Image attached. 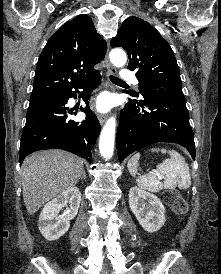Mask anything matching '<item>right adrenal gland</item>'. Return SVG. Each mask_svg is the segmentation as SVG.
<instances>
[{
	"instance_id": "right-adrenal-gland-1",
	"label": "right adrenal gland",
	"mask_w": 221,
	"mask_h": 274,
	"mask_svg": "<svg viewBox=\"0 0 221 274\" xmlns=\"http://www.w3.org/2000/svg\"><path fill=\"white\" fill-rule=\"evenodd\" d=\"M81 179H83V180H85V181H86V173H85V171H84V170H83V172H82Z\"/></svg>"
}]
</instances>
